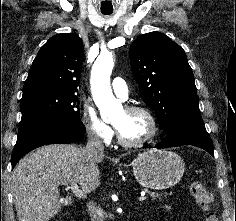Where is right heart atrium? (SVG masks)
<instances>
[{
	"mask_svg": "<svg viewBox=\"0 0 236 221\" xmlns=\"http://www.w3.org/2000/svg\"><path fill=\"white\" fill-rule=\"evenodd\" d=\"M81 119L87 135L92 140L102 144L111 142L113 128L101 118L93 103L86 102L83 105Z\"/></svg>",
	"mask_w": 236,
	"mask_h": 221,
	"instance_id": "right-heart-atrium-1",
	"label": "right heart atrium"
}]
</instances>
